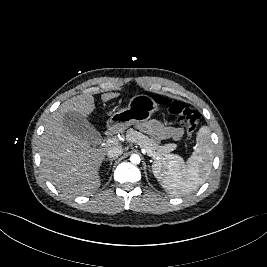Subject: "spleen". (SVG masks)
<instances>
[{"label": "spleen", "instance_id": "1", "mask_svg": "<svg viewBox=\"0 0 267 267\" xmlns=\"http://www.w3.org/2000/svg\"><path fill=\"white\" fill-rule=\"evenodd\" d=\"M196 148L185 164L179 157L155 161L152 168L161 186L171 195L182 196L199 188L207 180L214 147L210 129L202 126L196 136Z\"/></svg>", "mask_w": 267, "mask_h": 267}]
</instances>
